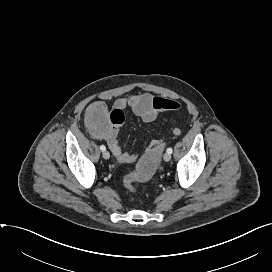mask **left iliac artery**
<instances>
[{
    "label": "left iliac artery",
    "instance_id": "44dca946",
    "mask_svg": "<svg viewBox=\"0 0 272 272\" xmlns=\"http://www.w3.org/2000/svg\"><path fill=\"white\" fill-rule=\"evenodd\" d=\"M167 153L171 154V153H172V148L169 147V148L167 149Z\"/></svg>",
    "mask_w": 272,
    "mask_h": 272
}]
</instances>
